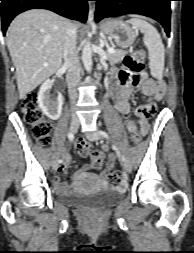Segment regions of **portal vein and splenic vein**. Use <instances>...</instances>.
I'll return each mask as SVG.
<instances>
[{
    "mask_svg": "<svg viewBox=\"0 0 194 253\" xmlns=\"http://www.w3.org/2000/svg\"><path fill=\"white\" fill-rule=\"evenodd\" d=\"M107 52L110 54H113V53H115V50H114V48L108 47Z\"/></svg>",
    "mask_w": 194,
    "mask_h": 253,
    "instance_id": "obj_1",
    "label": "portal vein and splenic vein"
}]
</instances>
